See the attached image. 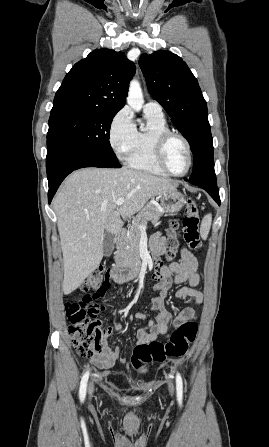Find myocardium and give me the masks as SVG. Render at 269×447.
<instances>
[{"label":"myocardium","mask_w":269,"mask_h":447,"mask_svg":"<svg viewBox=\"0 0 269 447\" xmlns=\"http://www.w3.org/2000/svg\"><path fill=\"white\" fill-rule=\"evenodd\" d=\"M173 139H179L184 143V145L186 147L187 155H188L187 166L181 172H176L173 169H171V167L169 166V164L167 162V158H166L167 146H168L169 142ZM154 147H155L156 161L163 169L166 170V172H168L169 174L174 175V176H183L189 171V169L192 165V149H191V144H190L189 140L185 136H183L182 134H180L178 132L171 131V130L159 133L155 137Z\"/></svg>","instance_id":"myocardium-1"}]
</instances>
